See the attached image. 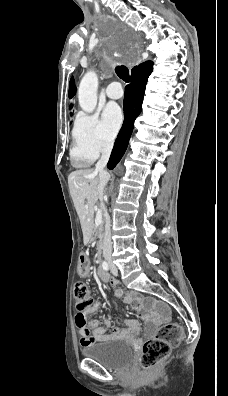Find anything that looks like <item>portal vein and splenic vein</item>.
I'll use <instances>...</instances> for the list:
<instances>
[{"label":"portal vein and splenic vein","instance_id":"18ae733b","mask_svg":"<svg viewBox=\"0 0 228 396\" xmlns=\"http://www.w3.org/2000/svg\"><path fill=\"white\" fill-rule=\"evenodd\" d=\"M101 223H102V212L101 210H98L95 216V224L99 226Z\"/></svg>","mask_w":228,"mask_h":396}]
</instances>
